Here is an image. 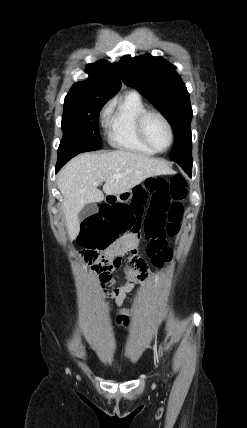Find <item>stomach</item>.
Segmentation results:
<instances>
[{
    "label": "stomach",
    "mask_w": 247,
    "mask_h": 428,
    "mask_svg": "<svg viewBox=\"0 0 247 428\" xmlns=\"http://www.w3.org/2000/svg\"><path fill=\"white\" fill-rule=\"evenodd\" d=\"M153 180H156L157 179V176H153V177H151ZM124 196H127L126 198H124ZM132 198V191H128V192H125V193H122V194H119V196H118V199H123V200H125V201H127V200H129V199H131Z\"/></svg>",
    "instance_id": "stomach-1"
}]
</instances>
